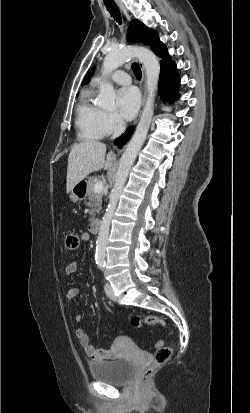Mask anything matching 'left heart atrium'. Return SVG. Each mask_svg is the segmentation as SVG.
Segmentation results:
<instances>
[{
  "mask_svg": "<svg viewBox=\"0 0 250 413\" xmlns=\"http://www.w3.org/2000/svg\"><path fill=\"white\" fill-rule=\"evenodd\" d=\"M118 106L126 120L133 119L140 107V95L137 89L133 87L121 89L118 93Z\"/></svg>",
  "mask_w": 250,
  "mask_h": 413,
  "instance_id": "obj_1",
  "label": "left heart atrium"
}]
</instances>
